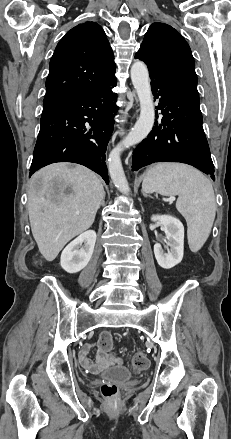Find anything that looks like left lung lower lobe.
Segmentation results:
<instances>
[{
	"label": "left lung lower lobe",
	"mask_w": 231,
	"mask_h": 439,
	"mask_svg": "<svg viewBox=\"0 0 231 439\" xmlns=\"http://www.w3.org/2000/svg\"><path fill=\"white\" fill-rule=\"evenodd\" d=\"M148 69L154 100L159 98L156 108L161 110L163 117L161 123L156 120L148 137L135 149L132 170L155 162H181L196 167L215 180L199 104L157 72ZM156 117L158 119V113Z\"/></svg>",
	"instance_id": "0a47b994"
}]
</instances>
